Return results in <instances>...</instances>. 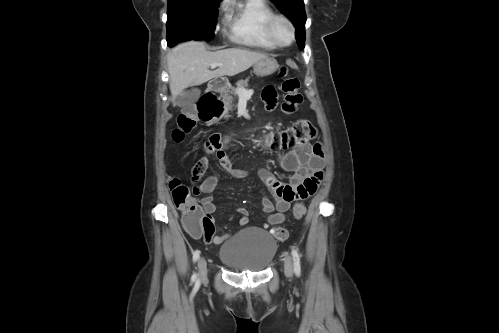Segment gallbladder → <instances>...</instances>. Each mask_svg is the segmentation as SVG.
<instances>
[{"instance_id": "bac80fb5", "label": "gallbladder", "mask_w": 499, "mask_h": 333, "mask_svg": "<svg viewBox=\"0 0 499 333\" xmlns=\"http://www.w3.org/2000/svg\"><path fill=\"white\" fill-rule=\"evenodd\" d=\"M199 95L200 90L198 88L185 90L176 97L175 104L179 107H190L197 101Z\"/></svg>"}]
</instances>
